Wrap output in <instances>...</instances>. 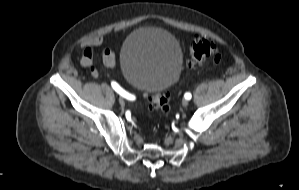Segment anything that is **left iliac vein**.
<instances>
[{"mask_svg":"<svg viewBox=\"0 0 299 190\" xmlns=\"http://www.w3.org/2000/svg\"><path fill=\"white\" fill-rule=\"evenodd\" d=\"M188 104H189V101H188L187 99H184V100L182 101V105H183L184 107H186Z\"/></svg>","mask_w":299,"mask_h":190,"instance_id":"1","label":"left iliac vein"}]
</instances>
